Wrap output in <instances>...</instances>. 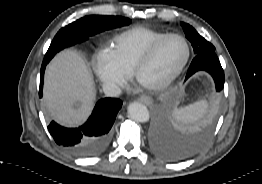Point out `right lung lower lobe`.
Masks as SVG:
<instances>
[{"label":"right lung lower lobe","instance_id":"obj_1","mask_svg":"<svg viewBox=\"0 0 262 184\" xmlns=\"http://www.w3.org/2000/svg\"><path fill=\"white\" fill-rule=\"evenodd\" d=\"M46 64L43 63L41 67L40 97L42 96ZM121 106L122 101L119 99L104 98L96 103L92 115L82 126L65 128L52 121L48 130L55 142L70 153L77 156H95L109 145L110 129Z\"/></svg>","mask_w":262,"mask_h":184}]
</instances>
